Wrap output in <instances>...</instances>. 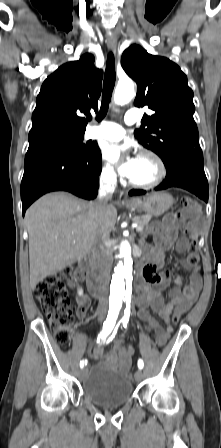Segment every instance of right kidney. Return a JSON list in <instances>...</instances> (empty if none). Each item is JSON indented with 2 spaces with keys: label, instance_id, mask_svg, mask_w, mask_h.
<instances>
[{
  "label": "right kidney",
  "instance_id": "right-kidney-1",
  "mask_svg": "<svg viewBox=\"0 0 221 448\" xmlns=\"http://www.w3.org/2000/svg\"><path fill=\"white\" fill-rule=\"evenodd\" d=\"M78 294L81 296V295H83V290L82 289H79L78 290Z\"/></svg>",
  "mask_w": 221,
  "mask_h": 448
}]
</instances>
